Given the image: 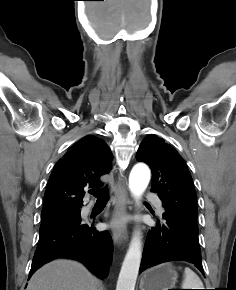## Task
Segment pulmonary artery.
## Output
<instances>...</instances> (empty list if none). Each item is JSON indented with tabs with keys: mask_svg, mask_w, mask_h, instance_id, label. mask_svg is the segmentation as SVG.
Instances as JSON below:
<instances>
[{
	"mask_svg": "<svg viewBox=\"0 0 236 290\" xmlns=\"http://www.w3.org/2000/svg\"><path fill=\"white\" fill-rule=\"evenodd\" d=\"M145 197L148 200L154 201V204H155V206L157 208V211L160 214H162V212H163L162 203H161V201L155 199V194L154 193H147ZM87 210H88V208L85 209V212H87Z\"/></svg>",
	"mask_w": 236,
	"mask_h": 290,
	"instance_id": "e3ab8cb5",
	"label": "pulmonary artery"
}]
</instances>
